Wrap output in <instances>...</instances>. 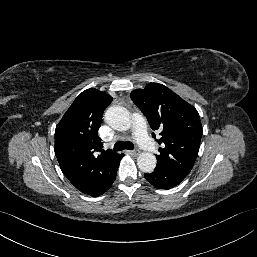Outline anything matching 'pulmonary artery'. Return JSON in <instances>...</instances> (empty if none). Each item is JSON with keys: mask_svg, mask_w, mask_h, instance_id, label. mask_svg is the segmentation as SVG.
Segmentation results:
<instances>
[{"mask_svg": "<svg viewBox=\"0 0 257 257\" xmlns=\"http://www.w3.org/2000/svg\"><path fill=\"white\" fill-rule=\"evenodd\" d=\"M133 123L135 128V135L140 147L148 152H153L156 145L146 133V123L144 118L139 114H135L133 117Z\"/></svg>", "mask_w": 257, "mask_h": 257, "instance_id": "1", "label": "pulmonary artery"}]
</instances>
